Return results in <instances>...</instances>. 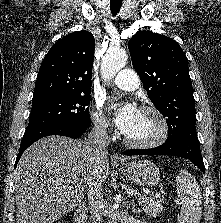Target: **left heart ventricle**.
<instances>
[{
  "label": "left heart ventricle",
  "mask_w": 221,
  "mask_h": 223,
  "mask_svg": "<svg viewBox=\"0 0 221 223\" xmlns=\"http://www.w3.org/2000/svg\"><path fill=\"white\" fill-rule=\"evenodd\" d=\"M160 130L158 119L151 113L139 112L131 129L125 134L133 141H148Z\"/></svg>",
  "instance_id": "b2bd125f"
}]
</instances>
